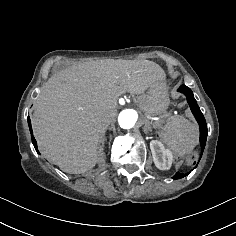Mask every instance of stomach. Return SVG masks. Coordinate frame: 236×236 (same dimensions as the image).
<instances>
[{"instance_id":"0dacf381","label":"stomach","mask_w":236,"mask_h":236,"mask_svg":"<svg viewBox=\"0 0 236 236\" xmlns=\"http://www.w3.org/2000/svg\"><path fill=\"white\" fill-rule=\"evenodd\" d=\"M169 105L168 91L165 83L158 82L142 96V106L151 114L164 112Z\"/></svg>"}]
</instances>
